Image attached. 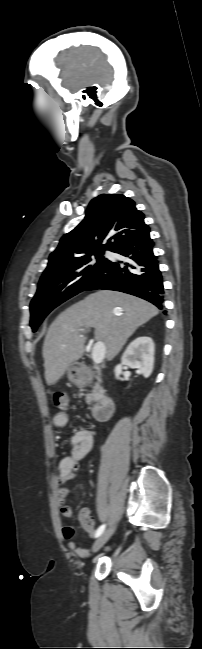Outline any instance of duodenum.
I'll use <instances>...</instances> for the list:
<instances>
[{"instance_id":"obj_1","label":"duodenum","mask_w":202,"mask_h":649,"mask_svg":"<svg viewBox=\"0 0 202 649\" xmlns=\"http://www.w3.org/2000/svg\"><path fill=\"white\" fill-rule=\"evenodd\" d=\"M114 412V403L111 398L103 397L93 408V415L100 421H107Z\"/></svg>"}]
</instances>
